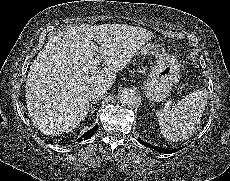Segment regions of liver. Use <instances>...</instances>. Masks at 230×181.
Segmentation results:
<instances>
[{
  "mask_svg": "<svg viewBox=\"0 0 230 181\" xmlns=\"http://www.w3.org/2000/svg\"><path fill=\"white\" fill-rule=\"evenodd\" d=\"M152 35L137 27L81 24L53 36L26 80V104L34 125L45 134L72 131L89 112L88 91L94 86L111 88L116 72L135 55L136 44ZM96 55L104 68L94 64Z\"/></svg>",
  "mask_w": 230,
  "mask_h": 181,
  "instance_id": "liver-1",
  "label": "liver"
}]
</instances>
